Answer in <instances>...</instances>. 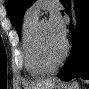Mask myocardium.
I'll use <instances>...</instances> for the list:
<instances>
[{
	"mask_svg": "<svg viewBox=\"0 0 89 89\" xmlns=\"http://www.w3.org/2000/svg\"><path fill=\"white\" fill-rule=\"evenodd\" d=\"M42 24H43V21L38 22V25L35 30L34 49H35L36 56H37L38 60L40 61V63L53 71L65 59L67 51H68V43L66 40H63V48H62L60 55L55 60H51L46 55L44 48H43Z\"/></svg>",
	"mask_w": 89,
	"mask_h": 89,
	"instance_id": "f54148a6",
	"label": "myocardium"
}]
</instances>
